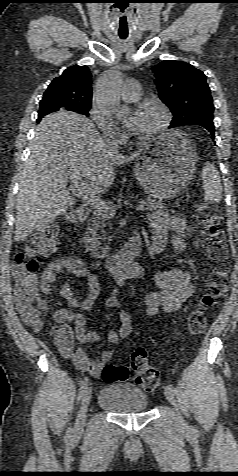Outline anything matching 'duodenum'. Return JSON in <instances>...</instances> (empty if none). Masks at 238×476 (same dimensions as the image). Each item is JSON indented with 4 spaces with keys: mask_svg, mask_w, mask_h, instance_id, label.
<instances>
[{
    "mask_svg": "<svg viewBox=\"0 0 238 476\" xmlns=\"http://www.w3.org/2000/svg\"><path fill=\"white\" fill-rule=\"evenodd\" d=\"M89 211L81 209L70 217V221L74 223H81L88 219ZM142 247V238L139 233H135L129 237L123 248L115 253L104 258V267L106 270L115 276L123 273H131L136 270V264L133 262L135 254Z\"/></svg>",
    "mask_w": 238,
    "mask_h": 476,
    "instance_id": "obj_1",
    "label": "duodenum"
}]
</instances>
